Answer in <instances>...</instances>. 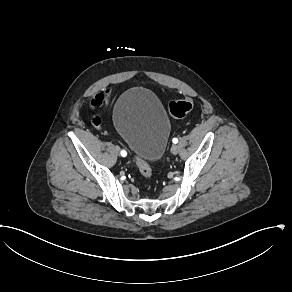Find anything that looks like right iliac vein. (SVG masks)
<instances>
[{"label":"right iliac vein","instance_id":"obj_1","mask_svg":"<svg viewBox=\"0 0 292 292\" xmlns=\"http://www.w3.org/2000/svg\"><path fill=\"white\" fill-rule=\"evenodd\" d=\"M115 151H116V153H119V147L118 146L115 147Z\"/></svg>","mask_w":292,"mask_h":292}]
</instances>
